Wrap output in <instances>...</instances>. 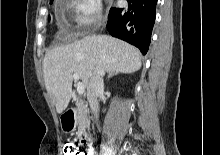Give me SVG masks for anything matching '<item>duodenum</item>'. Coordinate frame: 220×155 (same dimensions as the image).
Listing matches in <instances>:
<instances>
[{
  "mask_svg": "<svg viewBox=\"0 0 220 155\" xmlns=\"http://www.w3.org/2000/svg\"><path fill=\"white\" fill-rule=\"evenodd\" d=\"M78 110L75 108L69 109L67 110L64 114H63V122L66 125H73L75 122V118L77 115ZM82 140H84L85 143V152H87V155H92V151L90 149V145H91V139L88 136H83Z\"/></svg>",
  "mask_w": 220,
  "mask_h": 155,
  "instance_id": "obj_1",
  "label": "duodenum"
}]
</instances>
